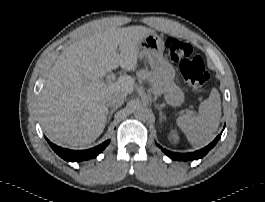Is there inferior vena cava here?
Masks as SVG:
<instances>
[{
  "label": "inferior vena cava",
  "mask_w": 265,
  "mask_h": 202,
  "mask_svg": "<svg viewBox=\"0 0 265 202\" xmlns=\"http://www.w3.org/2000/svg\"><path fill=\"white\" fill-rule=\"evenodd\" d=\"M127 97L126 93L123 92H112L107 95L105 103L108 107L118 108L120 107Z\"/></svg>",
  "instance_id": "602c4592"
}]
</instances>
